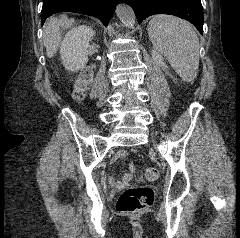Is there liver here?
Segmentation results:
<instances>
[{
    "instance_id": "obj_1",
    "label": "liver",
    "mask_w": 240,
    "mask_h": 238,
    "mask_svg": "<svg viewBox=\"0 0 240 238\" xmlns=\"http://www.w3.org/2000/svg\"><path fill=\"white\" fill-rule=\"evenodd\" d=\"M74 24V19H69L66 15L61 18H51L44 27L43 42L46 47V54L49 58L57 52L61 43V27L70 28Z\"/></svg>"
}]
</instances>
